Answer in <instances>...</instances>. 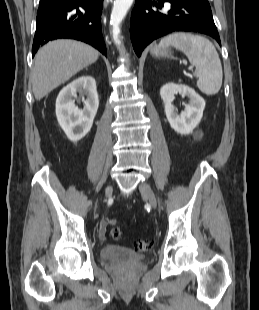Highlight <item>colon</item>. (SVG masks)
<instances>
[{
	"label": "colon",
	"instance_id": "5ec220e1",
	"mask_svg": "<svg viewBox=\"0 0 259 310\" xmlns=\"http://www.w3.org/2000/svg\"><path fill=\"white\" fill-rule=\"evenodd\" d=\"M106 226L112 227L110 235L114 240H119L122 236L120 229L116 228L115 219H107L105 222ZM152 242L147 240H139L134 244V250L137 252H144L151 248Z\"/></svg>",
	"mask_w": 259,
	"mask_h": 310
}]
</instances>
